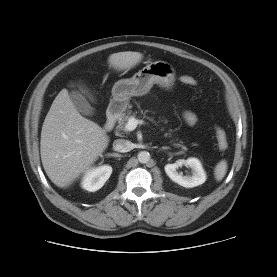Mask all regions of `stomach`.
I'll return each instance as SVG.
<instances>
[{
  "label": "stomach",
  "instance_id": "stomach-1",
  "mask_svg": "<svg viewBox=\"0 0 277 277\" xmlns=\"http://www.w3.org/2000/svg\"><path fill=\"white\" fill-rule=\"evenodd\" d=\"M174 81L175 70L172 65L165 61L151 62L132 78L121 79L114 84L109 108L121 113L126 110L131 97L147 94L154 84L170 89Z\"/></svg>",
  "mask_w": 277,
  "mask_h": 277
}]
</instances>
